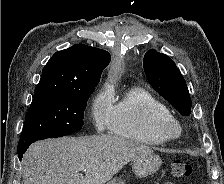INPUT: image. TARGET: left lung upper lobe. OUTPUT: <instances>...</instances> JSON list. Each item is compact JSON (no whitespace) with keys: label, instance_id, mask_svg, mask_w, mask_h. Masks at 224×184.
Returning <instances> with one entry per match:
<instances>
[{"label":"left lung upper lobe","instance_id":"left-lung-upper-lobe-1","mask_svg":"<svg viewBox=\"0 0 224 184\" xmlns=\"http://www.w3.org/2000/svg\"><path fill=\"white\" fill-rule=\"evenodd\" d=\"M143 67L151 86L183 116L191 113V98L180 70L167 55L149 50Z\"/></svg>","mask_w":224,"mask_h":184}]
</instances>
